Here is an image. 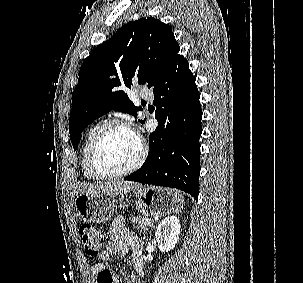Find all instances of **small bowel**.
<instances>
[{
  "label": "small bowel",
  "instance_id": "obj_1",
  "mask_svg": "<svg viewBox=\"0 0 303 283\" xmlns=\"http://www.w3.org/2000/svg\"><path fill=\"white\" fill-rule=\"evenodd\" d=\"M132 248L130 255V264L138 273H142V258H141V241L138 237L125 226L124 219L117 217L111 225V238L108 241L106 248L100 252L99 259L101 261L107 260L112 255L122 254L126 251L127 247ZM104 269L103 263H96L91 268L94 276ZM124 283H132L131 280L126 279Z\"/></svg>",
  "mask_w": 303,
  "mask_h": 283
}]
</instances>
